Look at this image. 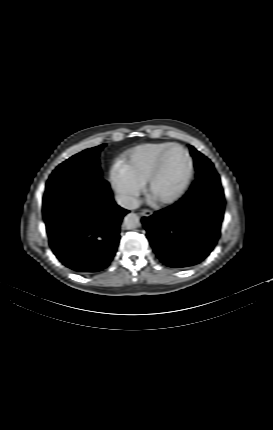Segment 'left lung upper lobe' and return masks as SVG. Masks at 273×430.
<instances>
[{
	"label": "left lung upper lobe",
	"instance_id": "1",
	"mask_svg": "<svg viewBox=\"0 0 273 430\" xmlns=\"http://www.w3.org/2000/svg\"><path fill=\"white\" fill-rule=\"evenodd\" d=\"M191 155L194 158V165L197 170L198 177L204 172H214V166L210 160L203 154L198 152L193 146H190Z\"/></svg>",
	"mask_w": 273,
	"mask_h": 430
}]
</instances>
